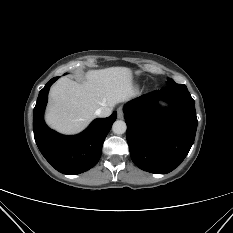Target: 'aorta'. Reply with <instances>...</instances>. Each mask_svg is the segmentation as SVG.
I'll use <instances>...</instances> for the list:
<instances>
[{
    "label": "aorta",
    "mask_w": 233,
    "mask_h": 233,
    "mask_svg": "<svg viewBox=\"0 0 233 233\" xmlns=\"http://www.w3.org/2000/svg\"><path fill=\"white\" fill-rule=\"evenodd\" d=\"M126 129H127L126 123L122 120L115 121L112 126V131L118 135L125 133Z\"/></svg>",
    "instance_id": "aorta-1"
}]
</instances>
